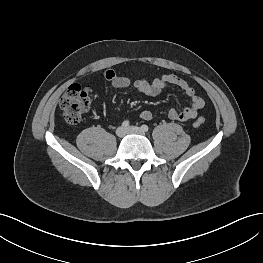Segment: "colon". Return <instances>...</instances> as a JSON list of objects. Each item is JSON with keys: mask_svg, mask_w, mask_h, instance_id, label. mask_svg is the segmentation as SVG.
I'll use <instances>...</instances> for the list:
<instances>
[{"mask_svg": "<svg viewBox=\"0 0 263 263\" xmlns=\"http://www.w3.org/2000/svg\"><path fill=\"white\" fill-rule=\"evenodd\" d=\"M90 103L89 91L80 85H72L63 94L59 106L65 121L77 124L81 121L83 114L88 111ZM203 123V119H198L194 125L198 127Z\"/></svg>", "mask_w": 263, "mask_h": 263, "instance_id": "colon-1", "label": "colon"}]
</instances>
